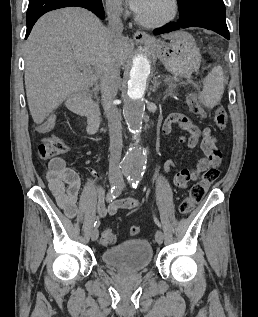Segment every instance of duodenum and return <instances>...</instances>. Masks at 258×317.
<instances>
[{
	"label": "duodenum",
	"mask_w": 258,
	"mask_h": 317,
	"mask_svg": "<svg viewBox=\"0 0 258 317\" xmlns=\"http://www.w3.org/2000/svg\"><path fill=\"white\" fill-rule=\"evenodd\" d=\"M76 108L79 110H84L86 108V101H81L76 105Z\"/></svg>",
	"instance_id": "duodenum-1"
}]
</instances>
